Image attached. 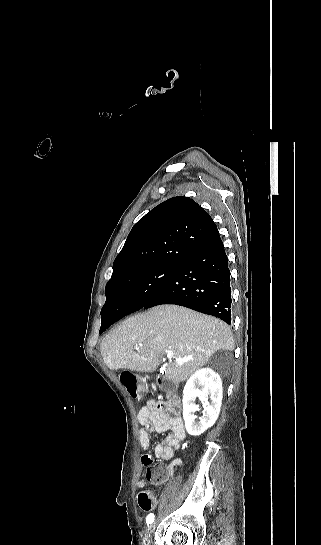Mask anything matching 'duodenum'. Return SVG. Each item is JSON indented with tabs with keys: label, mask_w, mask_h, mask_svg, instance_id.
I'll return each mask as SVG.
<instances>
[{
	"label": "duodenum",
	"mask_w": 321,
	"mask_h": 545,
	"mask_svg": "<svg viewBox=\"0 0 321 545\" xmlns=\"http://www.w3.org/2000/svg\"><path fill=\"white\" fill-rule=\"evenodd\" d=\"M158 384L160 388L167 393H172L174 391L173 383L165 378H158Z\"/></svg>",
	"instance_id": "410a0bca"
}]
</instances>
